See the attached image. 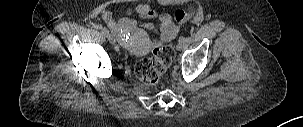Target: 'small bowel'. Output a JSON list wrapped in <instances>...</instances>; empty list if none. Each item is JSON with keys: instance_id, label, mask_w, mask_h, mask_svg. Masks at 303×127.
Returning a JSON list of instances; mask_svg holds the SVG:
<instances>
[{"instance_id": "1", "label": "small bowel", "mask_w": 303, "mask_h": 127, "mask_svg": "<svg viewBox=\"0 0 303 127\" xmlns=\"http://www.w3.org/2000/svg\"><path fill=\"white\" fill-rule=\"evenodd\" d=\"M118 8L107 9L102 13V19L114 33L121 44L135 53H146L152 48L170 41L176 33V27L168 14L159 17L157 28L152 22L140 24L133 16L151 20L157 17V12L148 4H139L128 9L121 17H116L114 11ZM148 32L153 35L150 36Z\"/></svg>"}]
</instances>
